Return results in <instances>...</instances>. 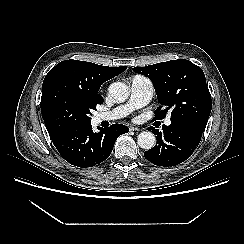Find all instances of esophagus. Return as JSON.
<instances>
[{"label":"esophagus","instance_id":"esophagus-1","mask_svg":"<svg viewBox=\"0 0 244 244\" xmlns=\"http://www.w3.org/2000/svg\"><path fill=\"white\" fill-rule=\"evenodd\" d=\"M129 130L130 131H139L140 129L138 127H135V126H130Z\"/></svg>","mask_w":244,"mask_h":244}]
</instances>
